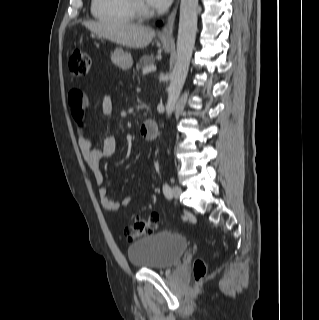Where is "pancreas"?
Listing matches in <instances>:
<instances>
[{
  "mask_svg": "<svg viewBox=\"0 0 319 320\" xmlns=\"http://www.w3.org/2000/svg\"><path fill=\"white\" fill-rule=\"evenodd\" d=\"M155 57L153 55H144L140 58L139 62L136 64V68L133 69V73H137L139 70L145 67L154 65Z\"/></svg>",
  "mask_w": 319,
  "mask_h": 320,
  "instance_id": "cf45deb5",
  "label": "pancreas"
}]
</instances>
